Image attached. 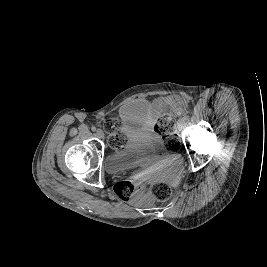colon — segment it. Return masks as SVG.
Segmentation results:
<instances>
[{"label": "colon", "instance_id": "1", "mask_svg": "<svg viewBox=\"0 0 267 267\" xmlns=\"http://www.w3.org/2000/svg\"><path fill=\"white\" fill-rule=\"evenodd\" d=\"M101 127L107 134L108 145L113 150L121 149L126 140L122 123L117 118H107L101 122ZM156 133L162 136L165 146L175 150L180 146L176 123L171 114H164L154 126ZM116 194L124 201L135 200L143 191L144 185L130 180H123L115 186ZM171 188L163 182H155L152 186V195L158 201H165L171 196Z\"/></svg>", "mask_w": 267, "mask_h": 267}]
</instances>
